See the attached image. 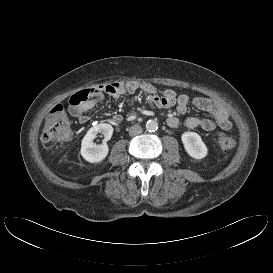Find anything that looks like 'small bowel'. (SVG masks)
Wrapping results in <instances>:
<instances>
[{
  "label": "small bowel",
  "instance_id": "obj_1",
  "mask_svg": "<svg viewBox=\"0 0 273 273\" xmlns=\"http://www.w3.org/2000/svg\"><path fill=\"white\" fill-rule=\"evenodd\" d=\"M137 90L146 92L148 102L159 108H171L176 106L177 112L184 115L187 113L189 105L191 104L195 109L207 112L211 115V118L187 117L183 120L177 116H170L167 118V124L172 128H176L179 125H184L187 128H201L205 131H213L216 128L228 131L232 128L228 111L219 102L206 97H197L190 101L188 95H177L171 89L159 93L152 84L142 81H132L124 84H108L97 88L92 95L81 104L73 105L70 103L69 111L81 124H84L89 121L86 112L95 107L106 95L118 99L124 95H133ZM113 119L115 122H119L122 120V116L116 114Z\"/></svg>",
  "mask_w": 273,
  "mask_h": 273
}]
</instances>
